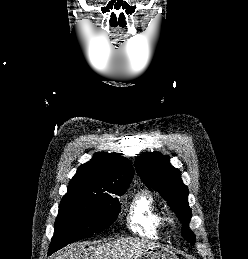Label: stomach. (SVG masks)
Masks as SVG:
<instances>
[{"mask_svg":"<svg viewBox=\"0 0 248 259\" xmlns=\"http://www.w3.org/2000/svg\"><path fill=\"white\" fill-rule=\"evenodd\" d=\"M137 259H178V257L167 248L154 246L145 250Z\"/></svg>","mask_w":248,"mask_h":259,"instance_id":"obj_1","label":"stomach"}]
</instances>
